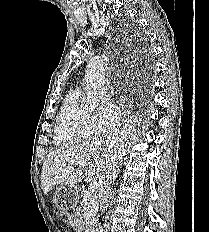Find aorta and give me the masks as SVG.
Listing matches in <instances>:
<instances>
[{
    "label": "aorta",
    "instance_id": "1",
    "mask_svg": "<svg viewBox=\"0 0 209 232\" xmlns=\"http://www.w3.org/2000/svg\"><path fill=\"white\" fill-rule=\"evenodd\" d=\"M84 78L86 99L82 106L88 111H93L99 105L105 90V67L100 57L96 56L88 61ZM97 232H103V229L100 227Z\"/></svg>",
    "mask_w": 209,
    "mask_h": 232
}]
</instances>
